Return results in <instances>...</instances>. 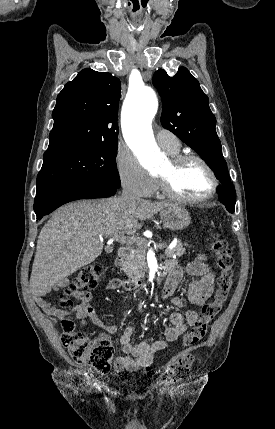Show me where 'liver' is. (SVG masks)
Returning a JSON list of instances; mask_svg holds the SVG:
<instances>
[{"label": "liver", "instance_id": "1", "mask_svg": "<svg viewBox=\"0 0 275 429\" xmlns=\"http://www.w3.org/2000/svg\"><path fill=\"white\" fill-rule=\"evenodd\" d=\"M169 202L121 197L68 204L53 213L41 229L30 277V288L39 295L98 258L103 240L116 234H133L139 223L151 218Z\"/></svg>", "mask_w": 275, "mask_h": 429}]
</instances>
